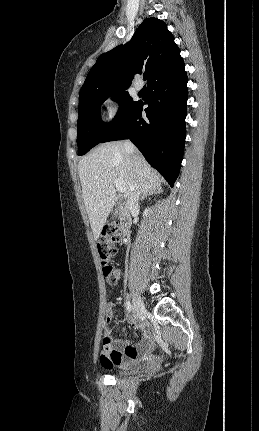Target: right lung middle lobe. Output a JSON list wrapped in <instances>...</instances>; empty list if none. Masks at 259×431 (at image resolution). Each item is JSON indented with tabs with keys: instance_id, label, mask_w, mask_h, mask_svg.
Here are the masks:
<instances>
[{
	"instance_id": "obj_1",
	"label": "right lung middle lobe",
	"mask_w": 259,
	"mask_h": 431,
	"mask_svg": "<svg viewBox=\"0 0 259 431\" xmlns=\"http://www.w3.org/2000/svg\"><path fill=\"white\" fill-rule=\"evenodd\" d=\"M108 97L119 103V111L109 125L101 120L100 107ZM137 102H134L126 89L96 93L86 96L79 102L77 121L78 155L86 154L92 147L103 142L112 130L128 115Z\"/></svg>"
}]
</instances>
